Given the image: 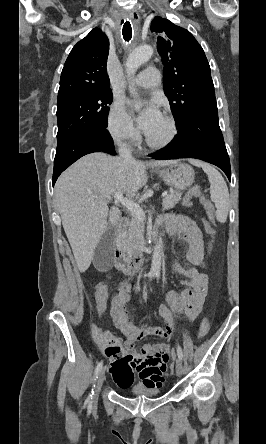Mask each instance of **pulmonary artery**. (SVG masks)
I'll return each mask as SVG.
<instances>
[{"instance_id": "pulmonary-artery-1", "label": "pulmonary artery", "mask_w": 266, "mask_h": 444, "mask_svg": "<svg viewBox=\"0 0 266 444\" xmlns=\"http://www.w3.org/2000/svg\"><path fill=\"white\" fill-rule=\"evenodd\" d=\"M161 81V72L157 67L150 66L140 72L134 79L133 83L143 88H153L159 85Z\"/></svg>"}]
</instances>
